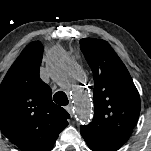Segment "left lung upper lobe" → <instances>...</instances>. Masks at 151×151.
<instances>
[{
  "mask_svg": "<svg viewBox=\"0 0 151 151\" xmlns=\"http://www.w3.org/2000/svg\"><path fill=\"white\" fill-rule=\"evenodd\" d=\"M94 75V117L80 133L128 139L139 118L140 96L123 62L104 40H80Z\"/></svg>",
  "mask_w": 151,
  "mask_h": 151,
  "instance_id": "1",
  "label": "left lung upper lobe"
}]
</instances>
